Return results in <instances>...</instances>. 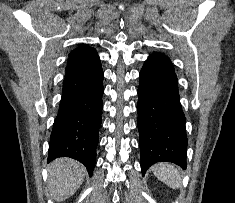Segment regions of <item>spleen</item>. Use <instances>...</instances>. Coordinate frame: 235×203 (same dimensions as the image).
<instances>
[{"instance_id": "1", "label": "spleen", "mask_w": 235, "mask_h": 203, "mask_svg": "<svg viewBox=\"0 0 235 203\" xmlns=\"http://www.w3.org/2000/svg\"><path fill=\"white\" fill-rule=\"evenodd\" d=\"M152 171L158 180L170 188L177 189L181 186V176L172 164L158 163L152 167Z\"/></svg>"}]
</instances>
